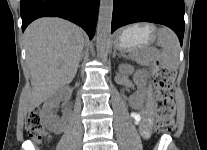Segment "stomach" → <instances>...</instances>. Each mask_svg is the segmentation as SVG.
<instances>
[{
    "instance_id": "0dacf381",
    "label": "stomach",
    "mask_w": 207,
    "mask_h": 150,
    "mask_svg": "<svg viewBox=\"0 0 207 150\" xmlns=\"http://www.w3.org/2000/svg\"><path fill=\"white\" fill-rule=\"evenodd\" d=\"M152 24H135L119 32L115 38V48L121 52H140L154 37Z\"/></svg>"
}]
</instances>
